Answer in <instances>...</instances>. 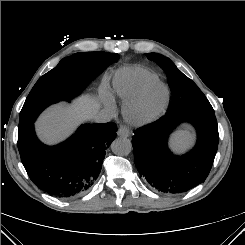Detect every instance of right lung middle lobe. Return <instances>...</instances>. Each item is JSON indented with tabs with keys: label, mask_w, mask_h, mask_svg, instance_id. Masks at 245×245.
Returning <instances> with one entry per match:
<instances>
[{
	"label": "right lung middle lobe",
	"mask_w": 245,
	"mask_h": 245,
	"mask_svg": "<svg viewBox=\"0 0 245 245\" xmlns=\"http://www.w3.org/2000/svg\"><path fill=\"white\" fill-rule=\"evenodd\" d=\"M86 56L99 58L106 66L117 62L119 55L107 52H83L63 58L59 64L39 78L29 93L20 112L19 128L33 123L49 105L60 100L70 101L87 85L81 60Z\"/></svg>",
	"instance_id": "1"
}]
</instances>
